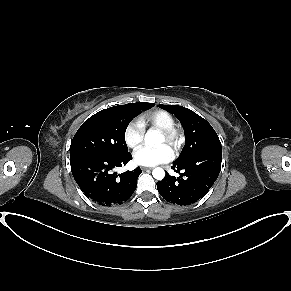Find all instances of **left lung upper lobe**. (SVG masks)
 Wrapping results in <instances>:
<instances>
[{"label":"left lung upper lobe","mask_w":291,"mask_h":291,"mask_svg":"<svg viewBox=\"0 0 291 291\" xmlns=\"http://www.w3.org/2000/svg\"><path fill=\"white\" fill-rule=\"evenodd\" d=\"M158 106L174 114L184 128L185 146L177 160H182L201 152L221 149V143L215 130L204 118L183 106Z\"/></svg>","instance_id":"left-lung-upper-lobe-1"}]
</instances>
